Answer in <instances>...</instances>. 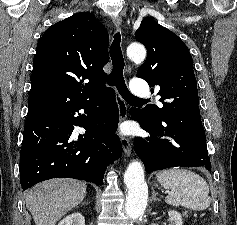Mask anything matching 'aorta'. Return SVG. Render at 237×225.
Segmentation results:
<instances>
[{"label": "aorta", "instance_id": "aorta-1", "mask_svg": "<svg viewBox=\"0 0 237 225\" xmlns=\"http://www.w3.org/2000/svg\"><path fill=\"white\" fill-rule=\"evenodd\" d=\"M127 56L135 63H141L146 57V49L133 43L127 48ZM124 183L128 188V197L125 206L127 215L137 219L143 214L147 205L148 187L144 180V169L140 162H131L124 174Z\"/></svg>", "mask_w": 237, "mask_h": 225}]
</instances>
